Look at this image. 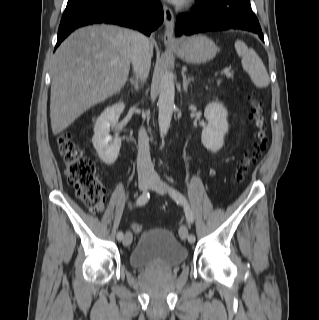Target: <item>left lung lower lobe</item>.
<instances>
[{
	"label": "left lung lower lobe",
	"mask_w": 319,
	"mask_h": 320,
	"mask_svg": "<svg viewBox=\"0 0 319 320\" xmlns=\"http://www.w3.org/2000/svg\"><path fill=\"white\" fill-rule=\"evenodd\" d=\"M190 13L179 15L176 35H191L206 31L242 29L259 34L264 41L259 22L249 0H196Z\"/></svg>",
	"instance_id": "left-lung-lower-lobe-1"
}]
</instances>
